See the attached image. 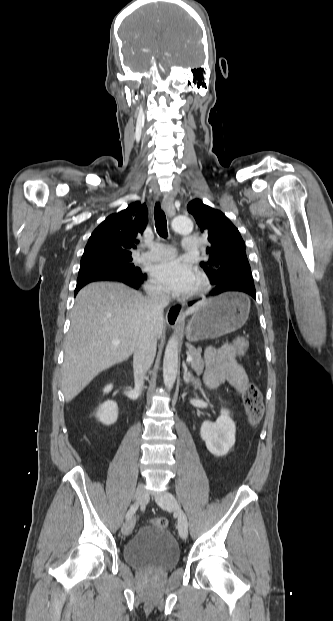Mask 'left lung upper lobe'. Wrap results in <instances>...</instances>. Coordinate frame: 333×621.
<instances>
[{
  "instance_id": "left-lung-upper-lobe-1",
  "label": "left lung upper lobe",
  "mask_w": 333,
  "mask_h": 621,
  "mask_svg": "<svg viewBox=\"0 0 333 621\" xmlns=\"http://www.w3.org/2000/svg\"><path fill=\"white\" fill-rule=\"evenodd\" d=\"M201 228L208 234L210 246L207 261L200 266L205 271L212 285L217 287L229 280H248L253 282L252 272L245 252V243L232 222L220 210L205 205L194 199L187 205Z\"/></svg>"
}]
</instances>
